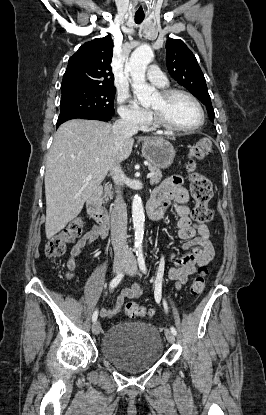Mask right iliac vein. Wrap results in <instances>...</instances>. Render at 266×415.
I'll list each match as a JSON object with an SVG mask.
<instances>
[{
    "label": "right iliac vein",
    "mask_w": 266,
    "mask_h": 415,
    "mask_svg": "<svg viewBox=\"0 0 266 415\" xmlns=\"http://www.w3.org/2000/svg\"><path fill=\"white\" fill-rule=\"evenodd\" d=\"M127 261L125 259L122 258H117L114 260V264H113V271L115 273H119L122 271V269L126 266ZM92 332L95 335H98L101 332V325L98 321H95L92 325Z\"/></svg>",
    "instance_id": "obj_1"
}]
</instances>
